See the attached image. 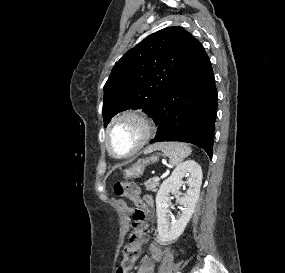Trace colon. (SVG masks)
Listing matches in <instances>:
<instances>
[{"label":"colon","mask_w":285,"mask_h":273,"mask_svg":"<svg viewBox=\"0 0 285 273\" xmlns=\"http://www.w3.org/2000/svg\"><path fill=\"white\" fill-rule=\"evenodd\" d=\"M117 196L125 197L134 206L132 214L134 229L129 234L123 247L121 260L115 273H129L140 255L141 245L145 238V230L150 216L149 205L139 196V188L133 182H118L114 185Z\"/></svg>","instance_id":"colon-1"}]
</instances>
